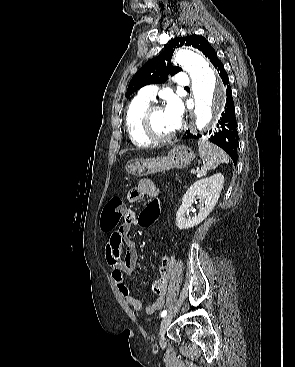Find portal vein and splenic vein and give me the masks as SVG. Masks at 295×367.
I'll return each mask as SVG.
<instances>
[{
	"label": "portal vein and splenic vein",
	"mask_w": 295,
	"mask_h": 367,
	"mask_svg": "<svg viewBox=\"0 0 295 367\" xmlns=\"http://www.w3.org/2000/svg\"><path fill=\"white\" fill-rule=\"evenodd\" d=\"M191 173H192V174H195V173H196V170H195V169H192V170H191Z\"/></svg>",
	"instance_id": "portal-vein-and-splenic-vein-1"
}]
</instances>
